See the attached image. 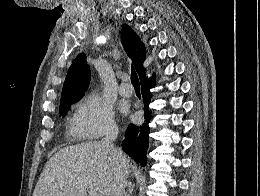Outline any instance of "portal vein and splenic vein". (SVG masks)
<instances>
[{
	"label": "portal vein and splenic vein",
	"mask_w": 260,
	"mask_h": 196,
	"mask_svg": "<svg viewBox=\"0 0 260 196\" xmlns=\"http://www.w3.org/2000/svg\"><path fill=\"white\" fill-rule=\"evenodd\" d=\"M88 196H100L99 192H95V190H89Z\"/></svg>",
	"instance_id": "18ae733b"
}]
</instances>
